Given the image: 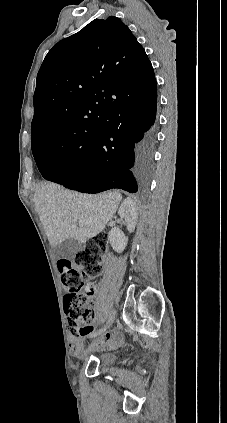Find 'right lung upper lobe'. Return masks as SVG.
<instances>
[{"mask_svg":"<svg viewBox=\"0 0 227 423\" xmlns=\"http://www.w3.org/2000/svg\"><path fill=\"white\" fill-rule=\"evenodd\" d=\"M157 91L143 47L117 17L95 19L46 55L37 75L31 143L59 136L94 141L108 123V108Z\"/></svg>","mask_w":227,"mask_h":423,"instance_id":"right-lung-upper-lobe-1","label":"right lung upper lobe"}]
</instances>
